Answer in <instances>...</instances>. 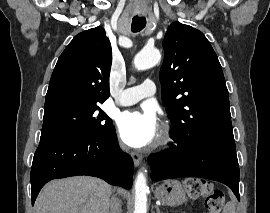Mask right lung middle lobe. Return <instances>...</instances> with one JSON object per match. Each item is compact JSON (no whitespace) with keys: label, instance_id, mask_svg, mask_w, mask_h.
<instances>
[{"label":"right lung middle lobe","instance_id":"1","mask_svg":"<svg viewBox=\"0 0 270 213\" xmlns=\"http://www.w3.org/2000/svg\"><path fill=\"white\" fill-rule=\"evenodd\" d=\"M112 127L99 104L66 101L45 107L41 136L97 137Z\"/></svg>","mask_w":270,"mask_h":213}]
</instances>
